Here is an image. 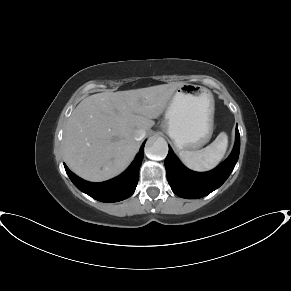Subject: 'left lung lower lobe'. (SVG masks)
Instances as JSON below:
<instances>
[{"instance_id": "left-lung-lower-lobe-1", "label": "left lung lower lobe", "mask_w": 291, "mask_h": 291, "mask_svg": "<svg viewBox=\"0 0 291 291\" xmlns=\"http://www.w3.org/2000/svg\"><path fill=\"white\" fill-rule=\"evenodd\" d=\"M240 151V134L236 127V141L232 153L222 164L208 172H194L186 168L169 147L165 159L167 179L172 191L179 197L197 199L219 188L233 171Z\"/></svg>"}]
</instances>
